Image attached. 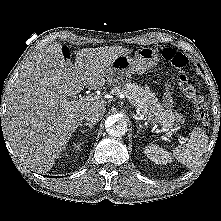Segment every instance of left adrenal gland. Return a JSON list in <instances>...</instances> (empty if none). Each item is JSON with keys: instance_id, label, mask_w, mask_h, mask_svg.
<instances>
[{"instance_id": "left-adrenal-gland-1", "label": "left adrenal gland", "mask_w": 221, "mask_h": 221, "mask_svg": "<svg viewBox=\"0 0 221 221\" xmlns=\"http://www.w3.org/2000/svg\"><path fill=\"white\" fill-rule=\"evenodd\" d=\"M143 130V126L138 122V125H137V134L141 133Z\"/></svg>"}]
</instances>
